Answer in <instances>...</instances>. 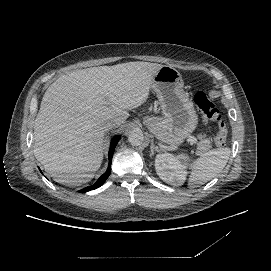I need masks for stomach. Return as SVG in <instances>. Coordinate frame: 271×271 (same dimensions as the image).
<instances>
[{
    "mask_svg": "<svg viewBox=\"0 0 271 271\" xmlns=\"http://www.w3.org/2000/svg\"><path fill=\"white\" fill-rule=\"evenodd\" d=\"M152 89L163 116L144 115V126L161 144L182 145L197 128L198 116L183 90L181 74L170 66L160 68L153 77Z\"/></svg>",
    "mask_w": 271,
    "mask_h": 271,
    "instance_id": "obj_1",
    "label": "stomach"
}]
</instances>
